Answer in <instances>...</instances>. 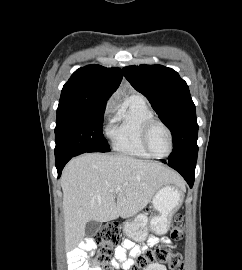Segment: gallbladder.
<instances>
[{"label":"gallbladder","instance_id":"obj_1","mask_svg":"<svg viewBox=\"0 0 242 270\" xmlns=\"http://www.w3.org/2000/svg\"><path fill=\"white\" fill-rule=\"evenodd\" d=\"M85 228H86L85 229L86 234L88 236H94L98 232V230L100 229V222L95 221V220H91L86 224Z\"/></svg>","mask_w":242,"mask_h":270}]
</instances>
